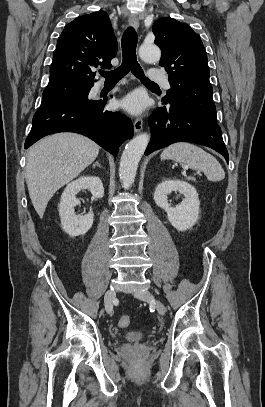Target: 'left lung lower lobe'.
<instances>
[{
    "label": "left lung lower lobe",
    "instance_id": "0a47b994",
    "mask_svg": "<svg viewBox=\"0 0 265 407\" xmlns=\"http://www.w3.org/2000/svg\"><path fill=\"white\" fill-rule=\"evenodd\" d=\"M151 141L145 154L175 142H191L208 146L229 161L228 151L216 121L185 107L164 105L149 118Z\"/></svg>",
    "mask_w": 265,
    "mask_h": 407
}]
</instances>
